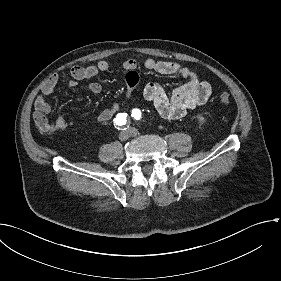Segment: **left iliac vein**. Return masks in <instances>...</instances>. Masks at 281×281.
<instances>
[{
	"instance_id": "left-iliac-vein-1",
	"label": "left iliac vein",
	"mask_w": 281,
	"mask_h": 281,
	"mask_svg": "<svg viewBox=\"0 0 281 281\" xmlns=\"http://www.w3.org/2000/svg\"><path fill=\"white\" fill-rule=\"evenodd\" d=\"M129 133H130V136H136L138 132H137L136 129L130 128V129H129Z\"/></svg>"
}]
</instances>
